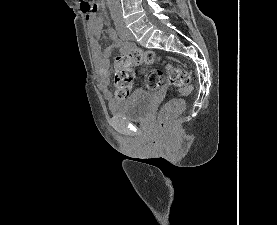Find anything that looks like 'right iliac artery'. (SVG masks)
Returning <instances> with one entry per match:
<instances>
[{
	"instance_id": "1",
	"label": "right iliac artery",
	"mask_w": 277,
	"mask_h": 225,
	"mask_svg": "<svg viewBox=\"0 0 277 225\" xmlns=\"http://www.w3.org/2000/svg\"><path fill=\"white\" fill-rule=\"evenodd\" d=\"M115 28H116V31L119 35V37L122 39V40H127V37L124 33V29H123V22L118 20L115 22Z\"/></svg>"
}]
</instances>
